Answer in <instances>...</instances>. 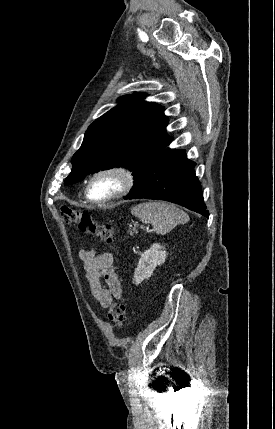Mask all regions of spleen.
<instances>
[{"label":"spleen","instance_id":"3e777b00","mask_svg":"<svg viewBox=\"0 0 275 429\" xmlns=\"http://www.w3.org/2000/svg\"><path fill=\"white\" fill-rule=\"evenodd\" d=\"M132 215L143 223H151L157 234L164 235L177 225L189 221L188 215L173 204L145 202L131 209Z\"/></svg>","mask_w":275,"mask_h":429}]
</instances>
